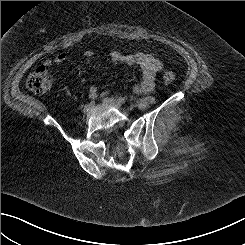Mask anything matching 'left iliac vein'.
<instances>
[{"instance_id": "left-iliac-vein-1", "label": "left iliac vein", "mask_w": 245, "mask_h": 245, "mask_svg": "<svg viewBox=\"0 0 245 245\" xmlns=\"http://www.w3.org/2000/svg\"><path fill=\"white\" fill-rule=\"evenodd\" d=\"M103 103L106 105L113 106L118 110L122 109V105L118 101H116L115 99H112V98H104Z\"/></svg>"}]
</instances>
